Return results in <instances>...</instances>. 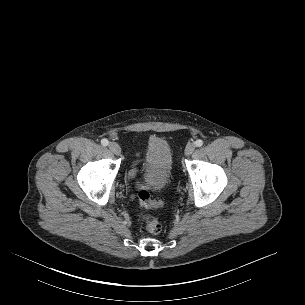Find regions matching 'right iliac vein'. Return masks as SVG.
Here are the masks:
<instances>
[{
	"instance_id": "right-iliac-vein-1",
	"label": "right iliac vein",
	"mask_w": 305,
	"mask_h": 305,
	"mask_svg": "<svg viewBox=\"0 0 305 305\" xmlns=\"http://www.w3.org/2000/svg\"><path fill=\"white\" fill-rule=\"evenodd\" d=\"M108 146H109V149L112 153H114L115 155H120L121 148L117 143L110 142Z\"/></svg>"
}]
</instances>
